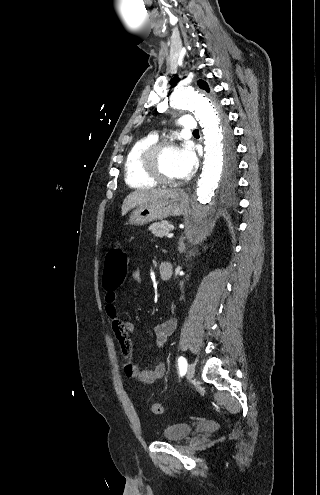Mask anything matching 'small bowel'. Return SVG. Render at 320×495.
<instances>
[{
	"instance_id": "1",
	"label": "small bowel",
	"mask_w": 320,
	"mask_h": 495,
	"mask_svg": "<svg viewBox=\"0 0 320 495\" xmlns=\"http://www.w3.org/2000/svg\"><path fill=\"white\" fill-rule=\"evenodd\" d=\"M133 278L136 281L140 280V274L138 271L133 272ZM122 286L123 284L114 289L105 288V312L124 356L125 374L129 378L136 379L140 383L152 384L164 376L166 368L163 363H159L150 370H144L135 364L133 360V345L131 336L135 334L136 327L134 323L130 321L121 320L116 306L117 291ZM176 326L177 318L171 317L170 319L154 327L153 333L156 344L159 347L163 348L165 346L167 339L173 334Z\"/></svg>"
}]
</instances>
